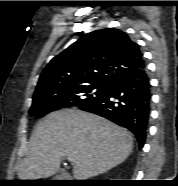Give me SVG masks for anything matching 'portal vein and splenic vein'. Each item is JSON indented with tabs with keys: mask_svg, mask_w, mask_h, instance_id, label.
<instances>
[{
	"mask_svg": "<svg viewBox=\"0 0 178 186\" xmlns=\"http://www.w3.org/2000/svg\"><path fill=\"white\" fill-rule=\"evenodd\" d=\"M68 161H71V162H72V161H73V159H72L71 157H68Z\"/></svg>",
	"mask_w": 178,
	"mask_h": 186,
	"instance_id": "18ae733b",
	"label": "portal vein and splenic vein"
}]
</instances>
